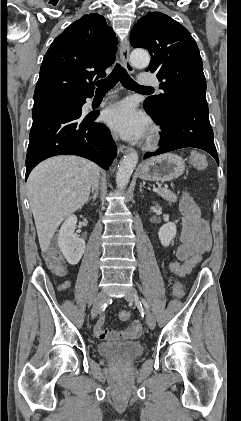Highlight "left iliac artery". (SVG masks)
I'll list each match as a JSON object with an SVG mask.
<instances>
[{
    "mask_svg": "<svg viewBox=\"0 0 241 421\" xmlns=\"http://www.w3.org/2000/svg\"><path fill=\"white\" fill-rule=\"evenodd\" d=\"M142 302H143L144 306L148 309L149 308L148 303L145 300H142Z\"/></svg>",
    "mask_w": 241,
    "mask_h": 421,
    "instance_id": "obj_1",
    "label": "left iliac artery"
}]
</instances>
